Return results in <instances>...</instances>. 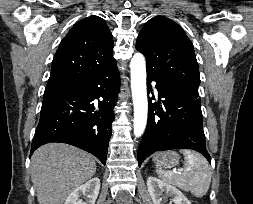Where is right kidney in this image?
<instances>
[{
  "label": "right kidney",
  "instance_id": "ca27d5eb",
  "mask_svg": "<svg viewBox=\"0 0 253 204\" xmlns=\"http://www.w3.org/2000/svg\"><path fill=\"white\" fill-rule=\"evenodd\" d=\"M100 190V179L94 177L76 188L66 199L65 204H95ZM84 200H83V199Z\"/></svg>",
  "mask_w": 253,
  "mask_h": 204
}]
</instances>
